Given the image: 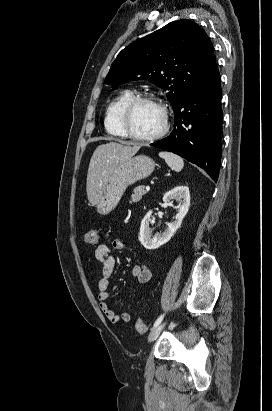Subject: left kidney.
<instances>
[{"label":"left kidney","instance_id":"1","mask_svg":"<svg viewBox=\"0 0 272 411\" xmlns=\"http://www.w3.org/2000/svg\"><path fill=\"white\" fill-rule=\"evenodd\" d=\"M173 199L179 203L178 213L176 214L175 220L168 223L167 230L163 233H156L152 236V231L149 227L152 210H150L143 218L140 227L139 241L146 249H157L164 245L180 228L190 206L189 188L187 186H177L163 196V201L166 203H170Z\"/></svg>","mask_w":272,"mask_h":411}]
</instances>
